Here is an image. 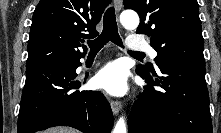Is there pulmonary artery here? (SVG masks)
Wrapping results in <instances>:
<instances>
[{
	"label": "pulmonary artery",
	"mask_w": 221,
	"mask_h": 133,
	"mask_svg": "<svg viewBox=\"0 0 221 133\" xmlns=\"http://www.w3.org/2000/svg\"><path fill=\"white\" fill-rule=\"evenodd\" d=\"M127 47L133 52L146 51L153 59L157 56V52L140 36H130L127 41Z\"/></svg>",
	"instance_id": "1"
}]
</instances>
